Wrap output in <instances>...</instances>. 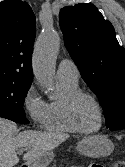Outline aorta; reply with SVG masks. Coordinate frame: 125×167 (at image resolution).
Returning <instances> with one entry per match:
<instances>
[{
  "mask_svg": "<svg viewBox=\"0 0 125 167\" xmlns=\"http://www.w3.org/2000/svg\"><path fill=\"white\" fill-rule=\"evenodd\" d=\"M60 44V37L54 30L44 31L38 38L33 53V72L36 80L53 99L55 56Z\"/></svg>",
  "mask_w": 125,
  "mask_h": 167,
  "instance_id": "1",
  "label": "aorta"
}]
</instances>
